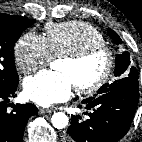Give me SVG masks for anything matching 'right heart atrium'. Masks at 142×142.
<instances>
[{
	"instance_id": "1",
	"label": "right heart atrium",
	"mask_w": 142,
	"mask_h": 142,
	"mask_svg": "<svg viewBox=\"0 0 142 142\" xmlns=\"http://www.w3.org/2000/svg\"><path fill=\"white\" fill-rule=\"evenodd\" d=\"M17 67L24 74H29L51 61V53L46 39L35 32L23 34L14 47Z\"/></svg>"
}]
</instances>
